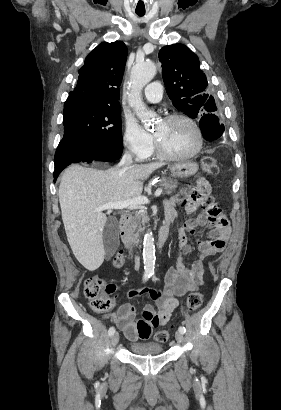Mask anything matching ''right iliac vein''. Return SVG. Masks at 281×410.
Here are the masks:
<instances>
[{"label":"right iliac vein","instance_id":"63e3f726","mask_svg":"<svg viewBox=\"0 0 281 410\" xmlns=\"http://www.w3.org/2000/svg\"><path fill=\"white\" fill-rule=\"evenodd\" d=\"M118 342H119V334H118V333H114V334L112 335V338H111V345H112V346H116V345L118 344Z\"/></svg>","mask_w":281,"mask_h":410}]
</instances>
